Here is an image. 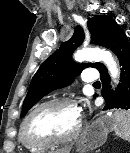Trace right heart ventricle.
Returning a JSON list of instances; mask_svg holds the SVG:
<instances>
[{
  "label": "right heart ventricle",
  "mask_w": 130,
  "mask_h": 153,
  "mask_svg": "<svg viewBox=\"0 0 130 153\" xmlns=\"http://www.w3.org/2000/svg\"><path fill=\"white\" fill-rule=\"evenodd\" d=\"M19 141L20 143L25 147L27 148L28 150H31V151H42L44 150L46 147H37V146H32V145H29L27 144L23 138H22V135H21V132L19 133Z\"/></svg>",
  "instance_id": "obj_1"
}]
</instances>
